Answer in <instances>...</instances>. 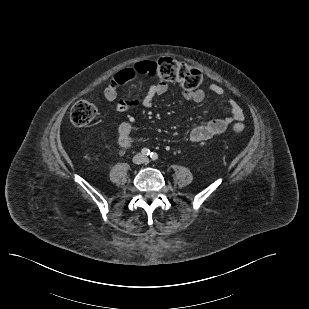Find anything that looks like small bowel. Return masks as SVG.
I'll list each match as a JSON object with an SVG mask.
<instances>
[{
	"instance_id": "c3829d8e",
	"label": "small bowel",
	"mask_w": 309,
	"mask_h": 309,
	"mask_svg": "<svg viewBox=\"0 0 309 309\" xmlns=\"http://www.w3.org/2000/svg\"><path fill=\"white\" fill-rule=\"evenodd\" d=\"M156 75L152 61L138 62L131 67H126L116 72L110 83L104 89V97L107 101L113 102L117 99L118 88L127 84L140 76ZM168 91V85L164 81H159L151 85L148 90L142 93L137 99H120L115 103V110L118 112L126 111L134 105H142L149 108L153 105L154 99L164 95ZM210 91L215 95L225 98L230 108V115L225 118L213 119L190 129L188 140L191 143H199L212 139L226 131L232 122H242L245 118L244 112L235 99L226 95L225 89L218 84H211ZM185 99L199 104L205 99V92L196 89L184 92ZM118 141L122 148H130L134 139L132 136V124L130 121L122 122L118 128Z\"/></svg>"
}]
</instances>
